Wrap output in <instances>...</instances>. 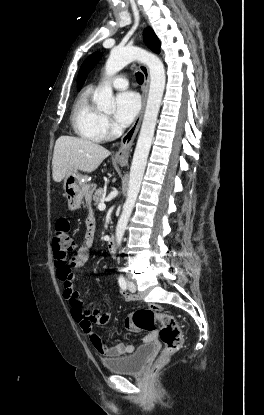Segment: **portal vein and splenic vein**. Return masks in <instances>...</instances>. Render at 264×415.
Segmentation results:
<instances>
[{
  "label": "portal vein and splenic vein",
  "instance_id": "18ae733b",
  "mask_svg": "<svg viewBox=\"0 0 264 415\" xmlns=\"http://www.w3.org/2000/svg\"><path fill=\"white\" fill-rule=\"evenodd\" d=\"M98 209H99L100 211L105 210V209H106V205H105V203H104V202L99 203V205H98Z\"/></svg>",
  "mask_w": 264,
  "mask_h": 415
}]
</instances>
